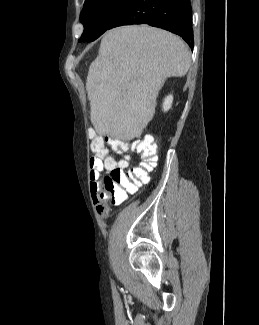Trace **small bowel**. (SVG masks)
<instances>
[{
  "label": "small bowel",
  "instance_id": "c3829d8e",
  "mask_svg": "<svg viewBox=\"0 0 259 325\" xmlns=\"http://www.w3.org/2000/svg\"><path fill=\"white\" fill-rule=\"evenodd\" d=\"M125 165L126 162L122 161L118 164V162L111 156H106L104 159H98L97 157H93L90 160V190L93 197V200L97 206V211L99 214L104 215L107 212L106 207V198H101L100 196V183L99 179L101 173L105 171H110L113 167L117 165Z\"/></svg>",
  "mask_w": 259,
  "mask_h": 325
}]
</instances>
